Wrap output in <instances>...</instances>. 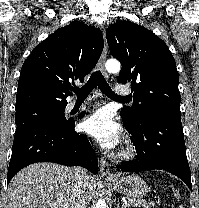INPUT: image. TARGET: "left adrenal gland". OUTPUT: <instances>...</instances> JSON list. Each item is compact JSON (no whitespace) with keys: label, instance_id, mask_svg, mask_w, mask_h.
I'll return each instance as SVG.
<instances>
[{"label":"left adrenal gland","instance_id":"obj_1","mask_svg":"<svg viewBox=\"0 0 199 208\" xmlns=\"http://www.w3.org/2000/svg\"><path fill=\"white\" fill-rule=\"evenodd\" d=\"M116 208H120V203L119 202L117 203V207ZM121 208H123V207H121Z\"/></svg>","mask_w":199,"mask_h":208}]
</instances>
